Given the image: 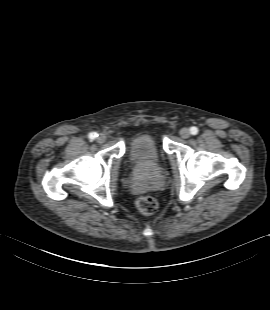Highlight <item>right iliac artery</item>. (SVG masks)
<instances>
[{"label":"right iliac artery","instance_id":"right-iliac-artery-1","mask_svg":"<svg viewBox=\"0 0 270 310\" xmlns=\"http://www.w3.org/2000/svg\"><path fill=\"white\" fill-rule=\"evenodd\" d=\"M97 136H98V134L95 133V132H91V133L89 134V138H90L91 140H94Z\"/></svg>","mask_w":270,"mask_h":310}]
</instances>
